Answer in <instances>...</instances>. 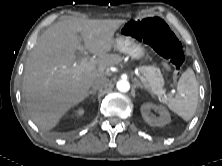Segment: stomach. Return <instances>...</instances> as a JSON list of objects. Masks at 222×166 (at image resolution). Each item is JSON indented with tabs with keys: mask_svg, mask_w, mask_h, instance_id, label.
Instances as JSON below:
<instances>
[{
	"mask_svg": "<svg viewBox=\"0 0 222 166\" xmlns=\"http://www.w3.org/2000/svg\"><path fill=\"white\" fill-rule=\"evenodd\" d=\"M114 48L135 60L142 59L146 54L145 48L138 41L130 40L127 35L118 36L114 40Z\"/></svg>",
	"mask_w": 222,
	"mask_h": 166,
	"instance_id": "0dacf381",
	"label": "stomach"
}]
</instances>
